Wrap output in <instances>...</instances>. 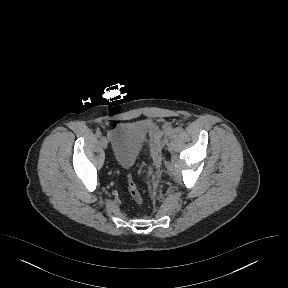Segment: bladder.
<instances>
[{
  "mask_svg": "<svg viewBox=\"0 0 288 288\" xmlns=\"http://www.w3.org/2000/svg\"><path fill=\"white\" fill-rule=\"evenodd\" d=\"M147 137V128L141 123L120 124L110 133L113 159L122 168H129Z\"/></svg>",
  "mask_w": 288,
  "mask_h": 288,
  "instance_id": "1",
  "label": "bladder"
}]
</instances>
